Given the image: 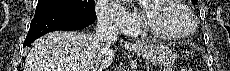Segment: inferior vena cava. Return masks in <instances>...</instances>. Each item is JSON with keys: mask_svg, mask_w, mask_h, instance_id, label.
Listing matches in <instances>:
<instances>
[{"mask_svg": "<svg viewBox=\"0 0 230 71\" xmlns=\"http://www.w3.org/2000/svg\"><path fill=\"white\" fill-rule=\"evenodd\" d=\"M118 31V26L113 23V20H111L108 15L99 14L96 22L95 33L93 35L94 46L109 48L110 44L117 40Z\"/></svg>", "mask_w": 230, "mask_h": 71, "instance_id": "1", "label": "inferior vena cava"}]
</instances>
